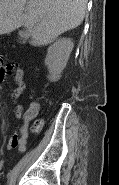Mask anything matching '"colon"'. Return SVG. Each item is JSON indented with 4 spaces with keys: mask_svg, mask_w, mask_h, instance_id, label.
I'll list each match as a JSON object with an SVG mask.
<instances>
[{
    "mask_svg": "<svg viewBox=\"0 0 119 185\" xmlns=\"http://www.w3.org/2000/svg\"><path fill=\"white\" fill-rule=\"evenodd\" d=\"M31 122H32V124H31V130L33 131V132H39L40 130H41V128H42V120L41 119H35V118H33L32 120H31Z\"/></svg>",
    "mask_w": 119,
    "mask_h": 185,
    "instance_id": "obj_1",
    "label": "colon"
}]
</instances>
